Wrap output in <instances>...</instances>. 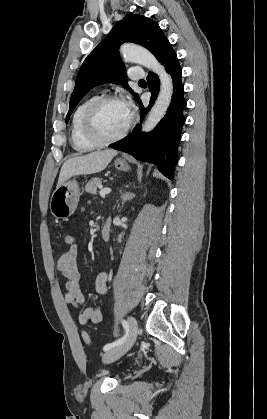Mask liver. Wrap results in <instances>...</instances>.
Segmentation results:
<instances>
[{"mask_svg": "<svg viewBox=\"0 0 267 419\" xmlns=\"http://www.w3.org/2000/svg\"><path fill=\"white\" fill-rule=\"evenodd\" d=\"M118 152L116 150L94 151L68 159L61 167L57 187L69 178L80 174H93L104 170Z\"/></svg>", "mask_w": 267, "mask_h": 419, "instance_id": "6515ba94", "label": "liver"}]
</instances>
